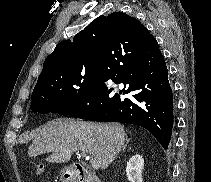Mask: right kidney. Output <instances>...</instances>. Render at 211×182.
<instances>
[{
	"instance_id": "ca27d5eb",
	"label": "right kidney",
	"mask_w": 211,
	"mask_h": 182,
	"mask_svg": "<svg viewBox=\"0 0 211 182\" xmlns=\"http://www.w3.org/2000/svg\"><path fill=\"white\" fill-rule=\"evenodd\" d=\"M144 167V159L140 155H134L130 158L127 167L126 175L130 182H143L142 170Z\"/></svg>"
}]
</instances>
